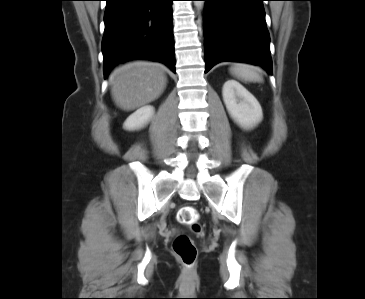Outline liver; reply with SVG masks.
Returning a JSON list of instances; mask_svg holds the SVG:
<instances>
[{"label": "liver", "mask_w": 365, "mask_h": 299, "mask_svg": "<svg viewBox=\"0 0 365 299\" xmlns=\"http://www.w3.org/2000/svg\"><path fill=\"white\" fill-rule=\"evenodd\" d=\"M165 68L159 63L135 61L116 68L110 76L117 106L131 111L157 99L166 87Z\"/></svg>", "instance_id": "1"}]
</instances>
